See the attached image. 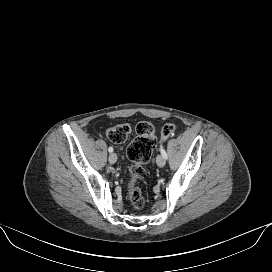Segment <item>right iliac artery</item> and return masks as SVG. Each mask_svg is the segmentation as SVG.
<instances>
[{"label": "right iliac artery", "mask_w": 272, "mask_h": 272, "mask_svg": "<svg viewBox=\"0 0 272 272\" xmlns=\"http://www.w3.org/2000/svg\"><path fill=\"white\" fill-rule=\"evenodd\" d=\"M108 151L111 153L113 152V148L112 147H109Z\"/></svg>", "instance_id": "obj_1"}]
</instances>
